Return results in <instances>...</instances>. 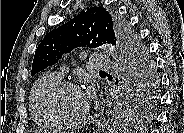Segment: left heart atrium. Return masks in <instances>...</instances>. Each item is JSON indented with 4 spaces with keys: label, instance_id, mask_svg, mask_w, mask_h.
<instances>
[{
    "label": "left heart atrium",
    "instance_id": "left-heart-atrium-1",
    "mask_svg": "<svg viewBox=\"0 0 184 133\" xmlns=\"http://www.w3.org/2000/svg\"><path fill=\"white\" fill-rule=\"evenodd\" d=\"M83 95H84L85 99L87 100V102L89 103L90 99L93 96L92 89L91 88H87V89L83 90Z\"/></svg>",
    "mask_w": 184,
    "mask_h": 133
}]
</instances>
